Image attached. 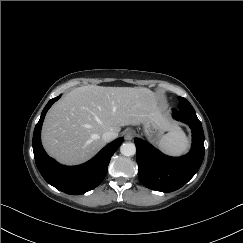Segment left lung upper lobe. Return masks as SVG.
<instances>
[{
    "mask_svg": "<svg viewBox=\"0 0 243 243\" xmlns=\"http://www.w3.org/2000/svg\"><path fill=\"white\" fill-rule=\"evenodd\" d=\"M179 101H180L179 111L184 112V113H188V114H192V115H196L193 107L188 102V100H186L183 97H179Z\"/></svg>",
    "mask_w": 243,
    "mask_h": 243,
    "instance_id": "5c2ea615",
    "label": "left lung upper lobe"
}]
</instances>
